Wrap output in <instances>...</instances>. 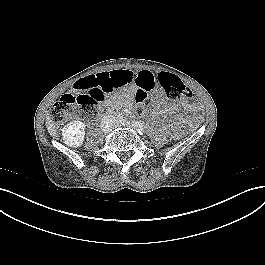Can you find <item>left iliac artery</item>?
I'll list each match as a JSON object with an SVG mask.
<instances>
[{"label":"left iliac artery","instance_id":"obj_1","mask_svg":"<svg viewBox=\"0 0 265 265\" xmlns=\"http://www.w3.org/2000/svg\"><path fill=\"white\" fill-rule=\"evenodd\" d=\"M133 125L137 128L140 135L144 134V128L139 122L135 121L133 122Z\"/></svg>","mask_w":265,"mask_h":265}]
</instances>
